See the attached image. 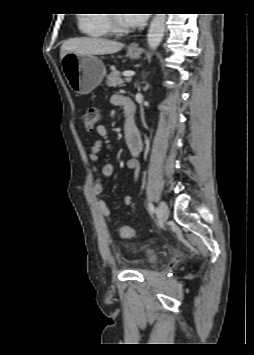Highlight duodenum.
I'll list each match as a JSON object with an SVG mask.
<instances>
[{
    "label": "duodenum",
    "instance_id": "obj_1",
    "mask_svg": "<svg viewBox=\"0 0 254 355\" xmlns=\"http://www.w3.org/2000/svg\"><path fill=\"white\" fill-rule=\"evenodd\" d=\"M128 104H129V101L127 100V105ZM124 127H125V130H127V131H132L133 129L136 128L135 118H134V115L131 113V107H129L128 114L126 115Z\"/></svg>",
    "mask_w": 254,
    "mask_h": 355
}]
</instances>
